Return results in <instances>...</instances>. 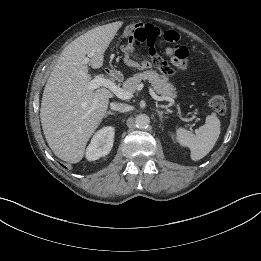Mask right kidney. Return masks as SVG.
Masks as SVG:
<instances>
[{
    "mask_svg": "<svg viewBox=\"0 0 261 261\" xmlns=\"http://www.w3.org/2000/svg\"><path fill=\"white\" fill-rule=\"evenodd\" d=\"M115 129L107 126L95 133L86 150V158L94 161L109 154L113 147Z\"/></svg>",
    "mask_w": 261,
    "mask_h": 261,
    "instance_id": "obj_1",
    "label": "right kidney"
}]
</instances>
